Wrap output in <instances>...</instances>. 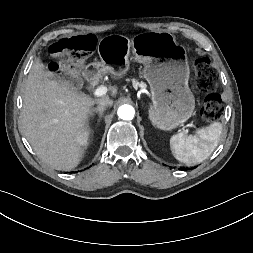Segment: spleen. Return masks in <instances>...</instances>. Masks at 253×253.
<instances>
[{"label":"spleen","mask_w":253,"mask_h":253,"mask_svg":"<svg viewBox=\"0 0 253 253\" xmlns=\"http://www.w3.org/2000/svg\"><path fill=\"white\" fill-rule=\"evenodd\" d=\"M222 134V124L214 122L197 130L195 135L178 133L171 137L170 148L173 156L186 165L193 166L203 162L215 150Z\"/></svg>","instance_id":"3e777b00"}]
</instances>
